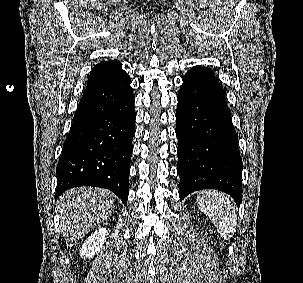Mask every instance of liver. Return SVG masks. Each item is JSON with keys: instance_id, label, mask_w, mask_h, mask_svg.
Returning a JSON list of instances; mask_svg holds the SVG:
<instances>
[{"instance_id": "1", "label": "liver", "mask_w": 303, "mask_h": 283, "mask_svg": "<svg viewBox=\"0 0 303 283\" xmlns=\"http://www.w3.org/2000/svg\"><path fill=\"white\" fill-rule=\"evenodd\" d=\"M58 204L60 229L69 247L107 219L115 208L112 192L92 187L68 190L60 197Z\"/></svg>"}]
</instances>
